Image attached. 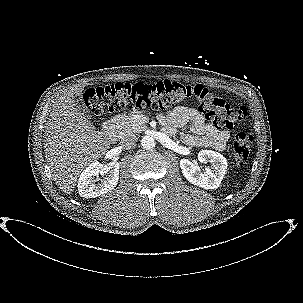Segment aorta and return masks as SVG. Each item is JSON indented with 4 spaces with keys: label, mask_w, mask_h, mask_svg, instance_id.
Returning <instances> with one entry per match:
<instances>
[{
    "label": "aorta",
    "mask_w": 303,
    "mask_h": 303,
    "mask_svg": "<svg viewBox=\"0 0 303 303\" xmlns=\"http://www.w3.org/2000/svg\"><path fill=\"white\" fill-rule=\"evenodd\" d=\"M141 146L143 149L150 150L155 147V140L152 136L146 135L141 139Z\"/></svg>",
    "instance_id": "1"
}]
</instances>
